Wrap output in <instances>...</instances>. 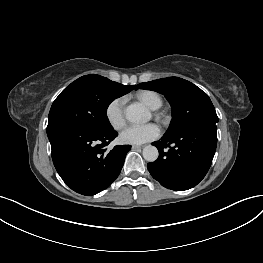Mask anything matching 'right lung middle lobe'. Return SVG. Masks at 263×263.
<instances>
[{
  "label": "right lung middle lobe",
  "instance_id": "1",
  "mask_svg": "<svg viewBox=\"0 0 263 263\" xmlns=\"http://www.w3.org/2000/svg\"><path fill=\"white\" fill-rule=\"evenodd\" d=\"M125 92L100 76L85 75L72 82L53 102L47 132L62 126H82L98 131L112 129L106 112Z\"/></svg>",
  "mask_w": 263,
  "mask_h": 263
}]
</instances>
